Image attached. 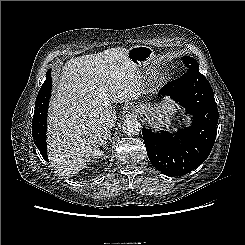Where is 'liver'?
I'll return each instance as SVG.
<instances>
[{
  "mask_svg": "<svg viewBox=\"0 0 245 245\" xmlns=\"http://www.w3.org/2000/svg\"><path fill=\"white\" fill-rule=\"evenodd\" d=\"M48 118V153L63 177L82 170L105 142L101 109L144 94L139 68L128 50L115 47L72 58L55 78Z\"/></svg>",
  "mask_w": 245,
  "mask_h": 245,
  "instance_id": "liver-1",
  "label": "liver"
}]
</instances>
